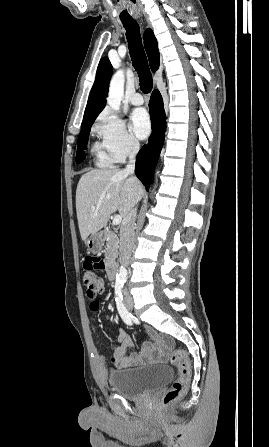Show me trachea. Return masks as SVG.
I'll return each mask as SVG.
<instances>
[{"mask_svg": "<svg viewBox=\"0 0 269 447\" xmlns=\"http://www.w3.org/2000/svg\"><path fill=\"white\" fill-rule=\"evenodd\" d=\"M122 23L126 29L130 57L139 76L140 89L143 93H149L153 87V80L148 66L147 57L141 43L139 26L135 21Z\"/></svg>", "mask_w": 269, "mask_h": 447, "instance_id": "3493384b", "label": "trachea"}]
</instances>
